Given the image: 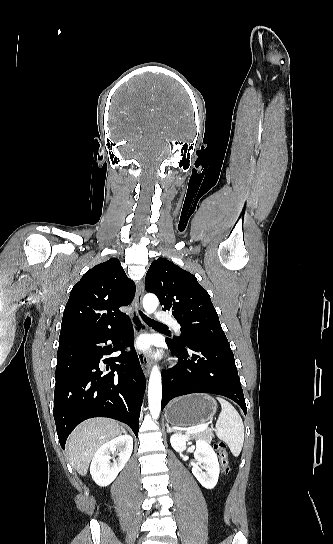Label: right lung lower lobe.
<instances>
[{
  "instance_id": "98d812e1",
  "label": "right lung lower lobe",
  "mask_w": 333,
  "mask_h": 544,
  "mask_svg": "<svg viewBox=\"0 0 333 544\" xmlns=\"http://www.w3.org/2000/svg\"><path fill=\"white\" fill-rule=\"evenodd\" d=\"M109 340L114 348L106 345ZM133 341L127 317L108 330L59 342L54 419L63 449L73 429L92 417L124 422L138 436L146 380L135 350L124 351ZM118 350L122 351L120 356L102 359Z\"/></svg>"
}]
</instances>
